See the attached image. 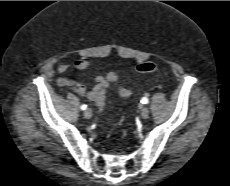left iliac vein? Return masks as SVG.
Returning <instances> with one entry per match:
<instances>
[{"label": "left iliac vein", "instance_id": "4c4485c4", "mask_svg": "<svg viewBox=\"0 0 230 186\" xmlns=\"http://www.w3.org/2000/svg\"><path fill=\"white\" fill-rule=\"evenodd\" d=\"M148 116H149V109L146 106L142 107V109H141V117L143 119H147Z\"/></svg>", "mask_w": 230, "mask_h": 186}]
</instances>
